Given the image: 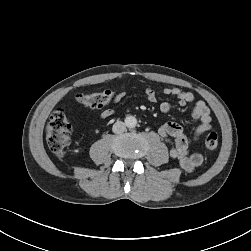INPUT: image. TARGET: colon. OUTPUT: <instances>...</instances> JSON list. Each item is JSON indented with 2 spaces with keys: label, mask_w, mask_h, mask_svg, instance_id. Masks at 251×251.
<instances>
[{
  "label": "colon",
  "mask_w": 251,
  "mask_h": 251,
  "mask_svg": "<svg viewBox=\"0 0 251 251\" xmlns=\"http://www.w3.org/2000/svg\"><path fill=\"white\" fill-rule=\"evenodd\" d=\"M115 96L114 90L106 89L86 94H79L77 100L85 107L101 108L111 102ZM71 124L65 110L57 108L50 116L46 140L50 150L57 156L62 157L70 144ZM219 145V138L216 132L211 131L205 138V147L208 151L214 152Z\"/></svg>",
  "instance_id": "obj_1"
}]
</instances>
